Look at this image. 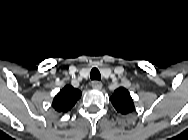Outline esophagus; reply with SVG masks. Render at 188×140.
Returning <instances> with one entry per match:
<instances>
[{"label": "esophagus", "instance_id": "obj_1", "mask_svg": "<svg viewBox=\"0 0 188 140\" xmlns=\"http://www.w3.org/2000/svg\"><path fill=\"white\" fill-rule=\"evenodd\" d=\"M92 87L93 89L100 90L102 88V83L100 81H93Z\"/></svg>", "mask_w": 188, "mask_h": 140}]
</instances>
